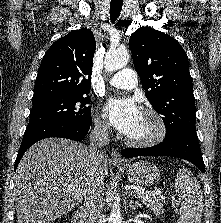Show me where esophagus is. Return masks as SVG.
I'll use <instances>...</instances> for the list:
<instances>
[{
    "mask_svg": "<svg viewBox=\"0 0 221 223\" xmlns=\"http://www.w3.org/2000/svg\"><path fill=\"white\" fill-rule=\"evenodd\" d=\"M111 162L114 164H124L125 161L117 150L111 152Z\"/></svg>",
    "mask_w": 221,
    "mask_h": 223,
    "instance_id": "34e87169",
    "label": "esophagus"
}]
</instances>
